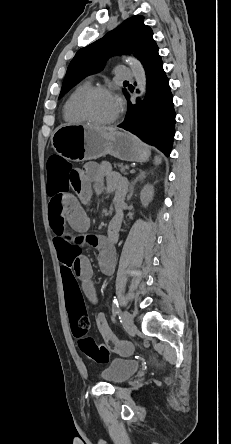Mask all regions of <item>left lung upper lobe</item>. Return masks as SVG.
Returning <instances> with one entry per match:
<instances>
[{
	"label": "left lung upper lobe",
	"instance_id": "5c2ea615",
	"mask_svg": "<svg viewBox=\"0 0 231 444\" xmlns=\"http://www.w3.org/2000/svg\"><path fill=\"white\" fill-rule=\"evenodd\" d=\"M157 50L152 29L144 24V17L128 18L103 38L77 51L68 66L59 98L86 76L102 70L113 55L133 54L144 65Z\"/></svg>",
	"mask_w": 231,
	"mask_h": 444
}]
</instances>
